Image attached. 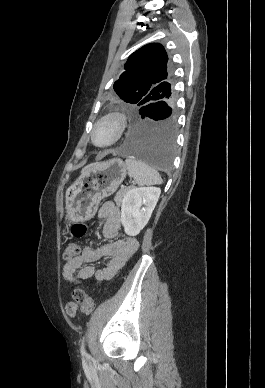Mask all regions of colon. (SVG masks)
<instances>
[{
	"label": "colon",
	"instance_id": "1",
	"mask_svg": "<svg viewBox=\"0 0 265 388\" xmlns=\"http://www.w3.org/2000/svg\"><path fill=\"white\" fill-rule=\"evenodd\" d=\"M87 227L83 223H74L71 227V232L75 237H82L85 235ZM80 253V247L71 243L68 244L64 251V259L71 261L75 259ZM73 301L80 307L84 313H91L94 309L93 300L80 287H76L72 291Z\"/></svg>",
	"mask_w": 265,
	"mask_h": 388
}]
</instances>
